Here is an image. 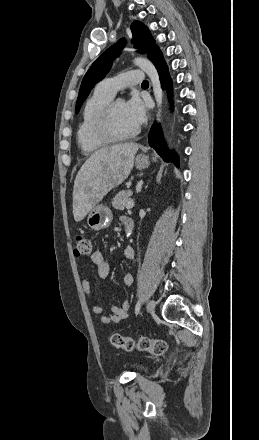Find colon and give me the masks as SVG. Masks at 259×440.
I'll return each mask as SVG.
<instances>
[{
  "label": "colon",
  "mask_w": 259,
  "mask_h": 440,
  "mask_svg": "<svg viewBox=\"0 0 259 440\" xmlns=\"http://www.w3.org/2000/svg\"><path fill=\"white\" fill-rule=\"evenodd\" d=\"M93 251V244L89 237L84 234L76 236L75 254L77 256H85L91 254ZM111 344L118 349L131 351L138 349L140 351H146L150 354L159 356L166 352L167 343L161 339H153L149 337H140L138 339H132L130 337L123 336L118 333H114L111 336Z\"/></svg>",
  "instance_id": "5ec220e1"
}]
</instances>
